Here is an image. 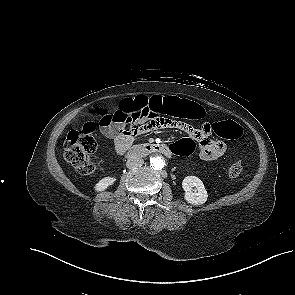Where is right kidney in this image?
Listing matches in <instances>:
<instances>
[{"label":"right kidney","instance_id":"right-kidney-1","mask_svg":"<svg viewBox=\"0 0 295 295\" xmlns=\"http://www.w3.org/2000/svg\"><path fill=\"white\" fill-rule=\"evenodd\" d=\"M115 181H116L115 177H104L94 186V189L97 192L104 191L109 186L113 185Z\"/></svg>","mask_w":295,"mask_h":295}]
</instances>
